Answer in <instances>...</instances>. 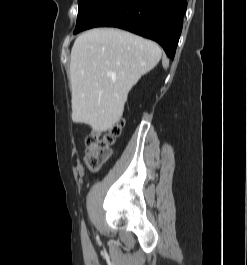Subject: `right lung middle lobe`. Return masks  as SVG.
<instances>
[{"instance_id":"obj_1","label":"right lung middle lobe","mask_w":247,"mask_h":265,"mask_svg":"<svg viewBox=\"0 0 247 265\" xmlns=\"http://www.w3.org/2000/svg\"><path fill=\"white\" fill-rule=\"evenodd\" d=\"M99 0H78L79 2V11L77 16L76 25L85 17V15L90 11V9L98 2Z\"/></svg>"}]
</instances>
